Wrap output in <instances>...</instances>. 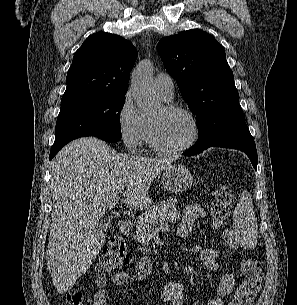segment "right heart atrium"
I'll use <instances>...</instances> for the list:
<instances>
[{
    "instance_id": "1",
    "label": "right heart atrium",
    "mask_w": 297,
    "mask_h": 305,
    "mask_svg": "<svg viewBox=\"0 0 297 305\" xmlns=\"http://www.w3.org/2000/svg\"><path fill=\"white\" fill-rule=\"evenodd\" d=\"M117 126L121 140L130 152H138L144 143L147 122L136 108L132 93L128 90L117 112Z\"/></svg>"
}]
</instances>
